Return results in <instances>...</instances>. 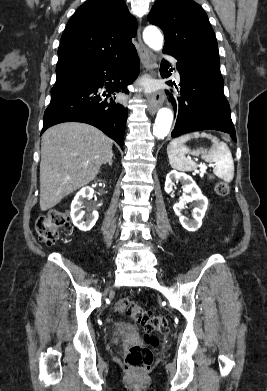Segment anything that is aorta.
Returning <instances> with one entry per match:
<instances>
[{
	"mask_svg": "<svg viewBox=\"0 0 267 391\" xmlns=\"http://www.w3.org/2000/svg\"><path fill=\"white\" fill-rule=\"evenodd\" d=\"M143 39L145 43L155 51H160L163 47V36L154 26L145 28L143 32ZM173 121V113L169 108H161L155 120L153 127V135L157 138L163 139L170 131Z\"/></svg>",
	"mask_w": 267,
	"mask_h": 391,
	"instance_id": "aorta-1",
	"label": "aorta"
}]
</instances>
